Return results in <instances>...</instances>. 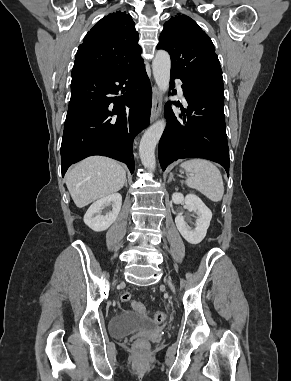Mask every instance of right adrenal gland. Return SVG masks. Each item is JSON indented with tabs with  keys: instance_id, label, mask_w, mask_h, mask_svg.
Returning a JSON list of instances; mask_svg holds the SVG:
<instances>
[{
	"instance_id": "1",
	"label": "right adrenal gland",
	"mask_w": 291,
	"mask_h": 381,
	"mask_svg": "<svg viewBox=\"0 0 291 381\" xmlns=\"http://www.w3.org/2000/svg\"><path fill=\"white\" fill-rule=\"evenodd\" d=\"M125 186L127 187V180L125 181Z\"/></svg>"
}]
</instances>
